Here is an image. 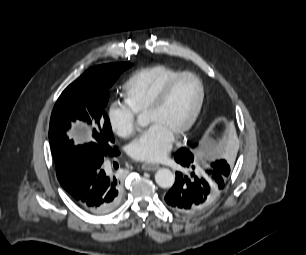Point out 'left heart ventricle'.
<instances>
[{"label": "left heart ventricle", "mask_w": 306, "mask_h": 255, "mask_svg": "<svg viewBox=\"0 0 306 255\" xmlns=\"http://www.w3.org/2000/svg\"><path fill=\"white\" fill-rule=\"evenodd\" d=\"M200 95L198 82L193 77H184L173 87L164 104L147 114L149 123H158L173 135L191 117Z\"/></svg>", "instance_id": "b2bd125f"}]
</instances>
